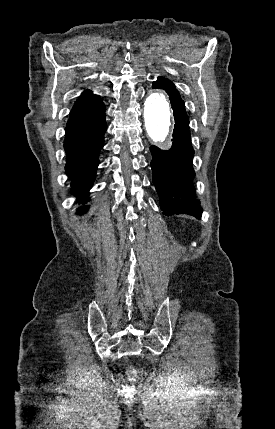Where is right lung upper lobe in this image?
I'll return each mask as SVG.
<instances>
[{
	"label": "right lung upper lobe",
	"instance_id": "cb5924a9",
	"mask_svg": "<svg viewBox=\"0 0 275 429\" xmlns=\"http://www.w3.org/2000/svg\"><path fill=\"white\" fill-rule=\"evenodd\" d=\"M105 108L104 104L96 95L87 90L82 93L79 99L75 102L68 123H75L88 119Z\"/></svg>",
	"mask_w": 275,
	"mask_h": 429
}]
</instances>
